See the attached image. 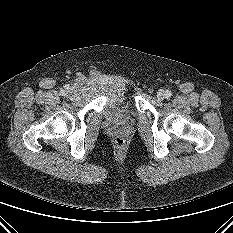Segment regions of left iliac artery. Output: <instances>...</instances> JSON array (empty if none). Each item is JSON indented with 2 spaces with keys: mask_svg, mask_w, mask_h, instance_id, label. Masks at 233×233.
Instances as JSON below:
<instances>
[{
  "mask_svg": "<svg viewBox=\"0 0 233 233\" xmlns=\"http://www.w3.org/2000/svg\"><path fill=\"white\" fill-rule=\"evenodd\" d=\"M165 93H166V97H167V98H169V97L172 95V92H171V91H169V90H166V92H165Z\"/></svg>",
  "mask_w": 233,
  "mask_h": 233,
  "instance_id": "44dca946",
  "label": "left iliac artery"
}]
</instances>
